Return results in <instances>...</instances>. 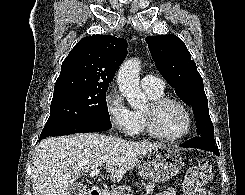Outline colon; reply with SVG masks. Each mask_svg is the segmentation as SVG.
<instances>
[{"label":"colon","mask_w":245,"mask_h":195,"mask_svg":"<svg viewBox=\"0 0 245 195\" xmlns=\"http://www.w3.org/2000/svg\"><path fill=\"white\" fill-rule=\"evenodd\" d=\"M212 170V164L209 161H201L190 167L182 185L184 195H212L206 188L212 177Z\"/></svg>","instance_id":"obj_1"}]
</instances>
